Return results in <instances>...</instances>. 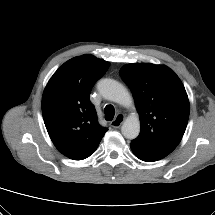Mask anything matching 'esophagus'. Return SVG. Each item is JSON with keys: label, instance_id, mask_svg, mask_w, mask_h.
I'll return each instance as SVG.
<instances>
[{"label": "esophagus", "instance_id": "1", "mask_svg": "<svg viewBox=\"0 0 215 215\" xmlns=\"http://www.w3.org/2000/svg\"><path fill=\"white\" fill-rule=\"evenodd\" d=\"M124 120H125L124 115L118 114L116 118L111 122V126L114 128H119L123 124Z\"/></svg>", "mask_w": 215, "mask_h": 215}]
</instances>
